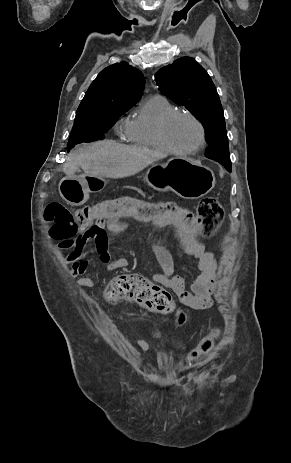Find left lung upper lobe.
Returning a JSON list of instances; mask_svg holds the SVG:
<instances>
[{
	"instance_id": "1",
	"label": "left lung upper lobe",
	"mask_w": 291,
	"mask_h": 463,
	"mask_svg": "<svg viewBox=\"0 0 291 463\" xmlns=\"http://www.w3.org/2000/svg\"><path fill=\"white\" fill-rule=\"evenodd\" d=\"M156 85L200 120L209 144L206 156L231 162L222 105L206 70L195 59L182 57L157 72Z\"/></svg>"
}]
</instances>
